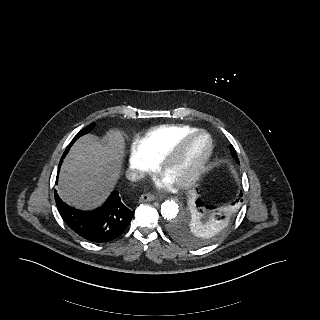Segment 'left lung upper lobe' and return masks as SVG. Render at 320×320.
I'll return each instance as SVG.
<instances>
[{"mask_svg": "<svg viewBox=\"0 0 320 320\" xmlns=\"http://www.w3.org/2000/svg\"><path fill=\"white\" fill-rule=\"evenodd\" d=\"M230 150H231V154H232V156L237 160V153H236V151H235V149H234V147L231 145V147H230ZM189 219H191V223H192V226L195 224V226H197V222L194 220V218H193V220H192V218L191 217H189ZM205 225H206V228H211V225H212V223L211 222H208V223H205Z\"/></svg>", "mask_w": 320, "mask_h": 320, "instance_id": "left-lung-upper-lobe-1", "label": "left lung upper lobe"}]
</instances>
